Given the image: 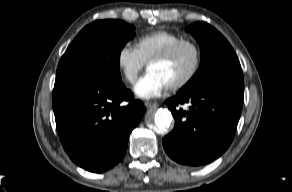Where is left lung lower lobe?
<instances>
[{"mask_svg":"<svg viewBox=\"0 0 292 192\" xmlns=\"http://www.w3.org/2000/svg\"><path fill=\"white\" fill-rule=\"evenodd\" d=\"M244 85L220 84L178 93L166 100L175 127L163 139L174 161L199 166L221 156L230 146L240 118ZM189 103L184 111L179 105Z\"/></svg>","mask_w":292,"mask_h":192,"instance_id":"left-lung-lower-lobe-1","label":"left lung lower lobe"}]
</instances>
